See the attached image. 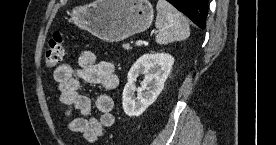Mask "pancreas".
I'll return each instance as SVG.
<instances>
[{
  "label": "pancreas",
  "instance_id": "pancreas-1",
  "mask_svg": "<svg viewBox=\"0 0 276 145\" xmlns=\"http://www.w3.org/2000/svg\"><path fill=\"white\" fill-rule=\"evenodd\" d=\"M123 48L126 50H129L130 46H129V44H123Z\"/></svg>",
  "mask_w": 276,
  "mask_h": 145
}]
</instances>
